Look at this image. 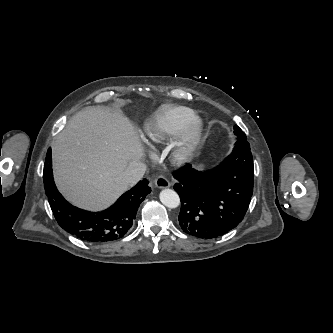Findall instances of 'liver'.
I'll return each instance as SVG.
<instances>
[{
    "mask_svg": "<svg viewBox=\"0 0 333 333\" xmlns=\"http://www.w3.org/2000/svg\"><path fill=\"white\" fill-rule=\"evenodd\" d=\"M143 157V148L128 119L101 106L72 117L52 145L55 182L72 204L101 210L128 186L122 174Z\"/></svg>",
    "mask_w": 333,
    "mask_h": 333,
    "instance_id": "liver-1",
    "label": "liver"
}]
</instances>
